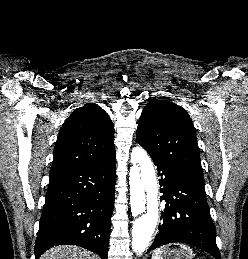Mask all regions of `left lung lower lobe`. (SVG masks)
I'll list each match as a JSON object with an SVG mask.
<instances>
[{
  "label": "left lung lower lobe",
  "instance_id": "obj_1",
  "mask_svg": "<svg viewBox=\"0 0 248 259\" xmlns=\"http://www.w3.org/2000/svg\"><path fill=\"white\" fill-rule=\"evenodd\" d=\"M151 158L161 177L159 184L163 196L160 199L166 204L161 212L159 231L147 253L168 243L182 242L207 251L215 259H221L205 188L191 184L165 163L153 156Z\"/></svg>",
  "mask_w": 248,
  "mask_h": 259
}]
</instances>
